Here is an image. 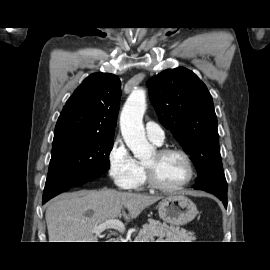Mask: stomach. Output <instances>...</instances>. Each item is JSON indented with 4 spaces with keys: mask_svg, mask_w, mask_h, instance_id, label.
I'll list each match as a JSON object with an SVG mask.
<instances>
[{
    "mask_svg": "<svg viewBox=\"0 0 270 270\" xmlns=\"http://www.w3.org/2000/svg\"><path fill=\"white\" fill-rule=\"evenodd\" d=\"M158 213L163 221L173 226H183L191 222L198 211L189 198L182 194H173L160 201Z\"/></svg>",
    "mask_w": 270,
    "mask_h": 270,
    "instance_id": "0dacf381",
    "label": "stomach"
}]
</instances>
